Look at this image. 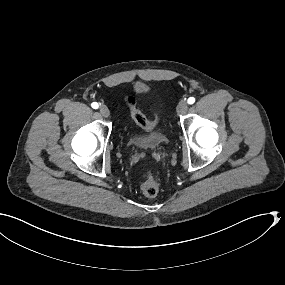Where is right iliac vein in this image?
I'll return each mask as SVG.
<instances>
[{"label": "right iliac vein", "mask_w": 285, "mask_h": 285, "mask_svg": "<svg viewBox=\"0 0 285 285\" xmlns=\"http://www.w3.org/2000/svg\"><path fill=\"white\" fill-rule=\"evenodd\" d=\"M99 112L104 118H108L110 116L109 109L104 105L100 106Z\"/></svg>", "instance_id": "1"}]
</instances>
